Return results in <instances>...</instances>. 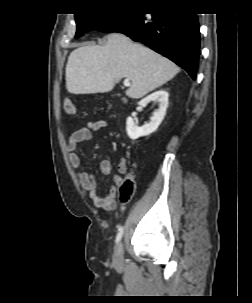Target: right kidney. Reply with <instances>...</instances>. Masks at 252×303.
I'll list each match as a JSON object with an SVG mask.
<instances>
[{"instance_id":"1","label":"right kidney","mask_w":252,"mask_h":303,"mask_svg":"<svg viewBox=\"0 0 252 303\" xmlns=\"http://www.w3.org/2000/svg\"><path fill=\"white\" fill-rule=\"evenodd\" d=\"M168 96L167 91L159 90L145 97L138 103L140 107H145L151 101H157L159 103V108L153 113L150 122L146 123L142 127L136 125L132 117L127 118L126 130L128 136L132 140H136L139 137L148 136L157 130L166 114Z\"/></svg>"}]
</instances>
